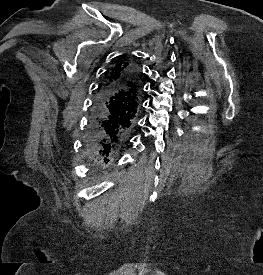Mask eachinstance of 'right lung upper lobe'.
<instances>
[{"label":"right lung upper lobe","mask_w":263,"mask_h":275,"mask_svg":"<svg viewBox=\"0 0 263 275\" xmlns=\"http://www.w3.org/2000/svg\"><path fill=\"white\" fill-rule=\"evenodd\" d=\"M134 67L129 59L118 62L99 87V91L117 85L128 90L126 108L128 113L136 114L140 103V86L138 79L129 77L127 72Z\"/></svg>","instance_id":"cb5924a9"}]
</instances>
